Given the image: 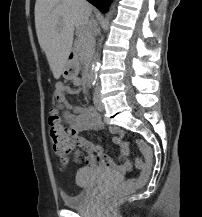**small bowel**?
Returning a JSON list of instances; mask_svg holds the SVG:
<instances>
[{"label": "small bowel", "mask_w": 202, "mask_h": 217, "mask_svg": "<svg viewBox=\"0 0 202 217\" xmlns=\"http://www.w3.org/2000/svg\"><path fill=\"white\" fill-rule=\"evenodd\" d=\"M73 84L79 86L81 79L76 77ZM75 91L64 84L57 82L55 84V96L59 108L62 110L63 117L67 122V130L70 136L76 141L77 145L84 149L81 158L87 167L97 169L104 173H111L116 176H123L130 172L133 164L129 159V145L124 141V132L117 127H110L109 132L113 135V142L119 145L120 157L118 162L104 154L102 145H96L80 136L81 132L101 126L100 115L92 106H78L70 103L66 96L73 94Z\"/></svg>", "instance_id": "obj_1"}]
</instances>
